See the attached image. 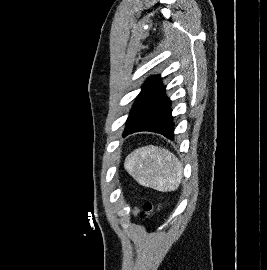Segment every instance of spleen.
Masks as SVG:
<instances>
[{
  "label": "spleen",
  "instance_id": "3e777b00",
  "mask_svg": "<svg viewBox=\"0 0 267 270\" xmlns=\"http://www.w3.org/2000/svg\"><path fill=\"white\" fill-rule=\"evenodd\" d=\"M124 167L140 185L162 192L176 189L183 170L180 161L169 150L153 145L130 153Z\"/></svg>",
  "mask_w": 267,
  "mask_h": 270
}]
</instances>
